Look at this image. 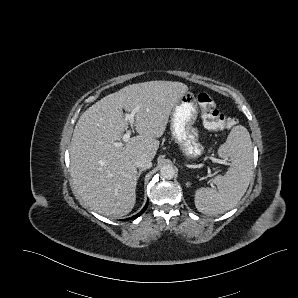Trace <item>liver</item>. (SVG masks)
<instances>
[{"label":"liver","instance_id":"liver-1","mask_svg":"<svg viewBox=\"0 0 298 298\" xmlns=\"http://www.w3.org/2000/svg\"><path fill=\"white\" fill-rule=\"evenodd\" d=\"M187 84L171 80H151L129 84L108 94L79 118L70 149V173L84 203L98 213L121 217L135 204L139 157L154 159L170 112ZM134 115L138 135L120 148L115 142L127 132L129 122L123 109Z\"/></svg>","mask_w":298,"mask_h":298}]
</instances>
